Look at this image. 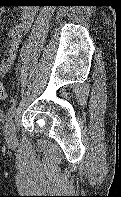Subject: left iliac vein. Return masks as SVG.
Segmentation results:
<instances>
[{
  "instance_id": "left-iliac-vein-1",
  "label": "left iliac vein",
  "mask_w": 121,
  "mask_h": 197,
  "mask_svg": "<svg viewBox=\"0 0 121 197\" xmlns=\"http://www.w3.org/2000/svg\"><path fill=\"white\" fill-rule=\"evenodd\" d=\"M6 141L9 144H15L16 143V129H15V124L14 120L10 119L6 125Z\"/></svg>"
}]
</instances>
